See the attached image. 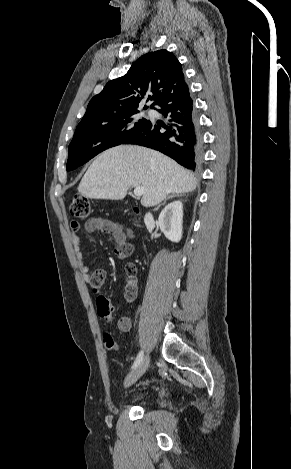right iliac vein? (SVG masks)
<instances>
[{"instance_id": "obj_1", "label": "right iliac vein", "mask_w": 291, "mask_h": 469, "mask_svg": "<svg viewBox=\"0 0 291 469\" xmlns=\"http://www.w3.org/2000/svg\"><path fill=\"white\" fill-rule=\"evenodd\" d=\"M149 363L150 357L149 355H145L140 364L126 376L124 386L129 387L134 384L145 373Z\"/></svg>"}]
</instances>
